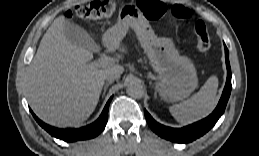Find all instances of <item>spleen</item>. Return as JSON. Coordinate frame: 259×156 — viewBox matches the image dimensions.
<instances>
[{
	"mask_svg": "<svg viewBox=\"0 0 259 156\" xmlns=\"http://www.w3.org/2000/svg\"><path fill=\"white\" fill-rule=\"evenodd\" d=\"M217 88L218 78L212 75L191 98L170 106V113L182 124L192 123L207 116L215 107Z\"/></svg>",
	"mask_w": 259,
	"mask_h": 156,
	"instance_id": "spleen-1",
	"label": "spleen"
}]
</instances>
